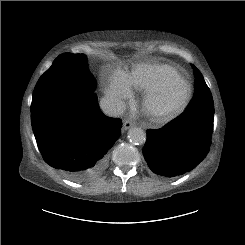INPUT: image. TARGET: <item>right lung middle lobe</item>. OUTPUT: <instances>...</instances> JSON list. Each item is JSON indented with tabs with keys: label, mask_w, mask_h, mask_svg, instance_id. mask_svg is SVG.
<instances>
[{
	"label": "right lung middle lobe",
	"mask_w": 245,
	"mask_h": 245,
	"mask_svg": "<svg viewBox=\"0 0 245 245\" xmlns=\"http://www.w3.org/2000/svg\"><path fill=\"white\" fill-rule=\"evenodd\" d=\"M96 85V79L88 69L86 56L64 53L54 60L52 66L38 80L31 106L68 92L92 91Z\"/></svg>",
	"instance_id": "dd1d6c3e"
}]
</instances>
